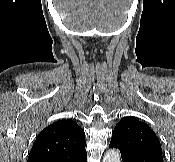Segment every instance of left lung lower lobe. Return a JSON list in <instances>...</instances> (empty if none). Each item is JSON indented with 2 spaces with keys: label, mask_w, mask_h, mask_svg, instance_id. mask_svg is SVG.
Returning a JSON list of instances; mask_svg holds the SVG:
<instances>
[{
  "label": "left lung lower lobe",
  "mask_w": 175,
  "mask_h": 162,
  "mask_svg": "<svg viewBox=\"0 0 175 162\" xmlns=\"http://www.w3.org/2000/svg\"><path fill=\"white\" fill-rule=\"evenodd\" d=\"M122 156V162H163L162 154L142 153L135 156Z\"/></svg>",
  "instance_id": "1"
}]
</instances>
